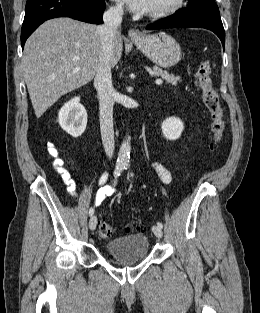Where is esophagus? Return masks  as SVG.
Here are the masks:
<instances>
[{"label":"esophagus","mask_w":260,"mask_h":313,"mask_svg":"<svg viewBox=\"0 0 260 313\" xmlns=\"http://www.w3.org/2000/svg\"><path fill=\"white\" fill-rule=\"evenodd\" d=\"M128 36L131 40L136 41L142 38V33L137 29H130L128 31Z\"/></svg>","instance_id":"obj_1"}]
</instances>
